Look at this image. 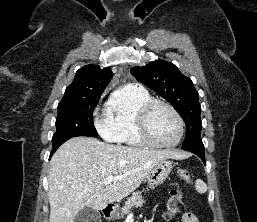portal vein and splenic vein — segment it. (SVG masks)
<instances>
[{"instance_id": "portal-vein-and-splenic-vein-1", "label": "portal vein and splenic vein", "mask_w": 257, "mask_h": 222, "mask_svg": "<svg viewBox=\"0 0 257 222\" xmlns=\"http://www.w3.org/2000/svg\"><path fill=\"white\" fill-rule=\"evenodd\" d=\"M114 179H115L114 177L109 176L103 180V183L110 184Z\"/></svg>"}]
</instances>
